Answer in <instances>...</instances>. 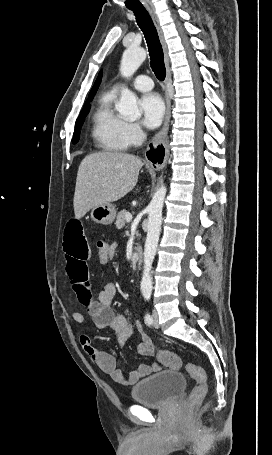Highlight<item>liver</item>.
<instances>
[{
	"label": "liver",
	"instance_id": "obj_1",
	"mask_svg": "<svg viewBox=\"0 0 272 455\" xmlns=\"http://www.w3.org/2000/svg\"><path fill=\"white\" fill-rule=\"evenodd\" d=\"M143 162L122 152L87 155L80 163L74 193V213L82 218L90 209L123 198L135 186Z\"/></svg>",
	"mask_w": 272,
	"mask_h": 455
}]
</instances>
